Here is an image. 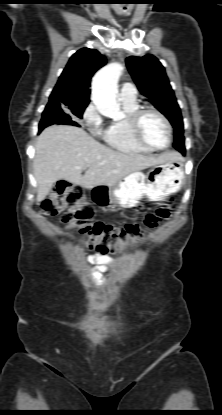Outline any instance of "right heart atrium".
Returning <instances> with one entry per match:
<instances>
[{
  "label": "right heart atrium",
  "instance_id": "d8ad5b80",
  "mask_svg": "<svg viewBox=\"0 0 222 415\" xmlns=\"http://www.w3.org/2000/svg\"><path fill=\"white\" fill-rule=\"evenodd\" d=\"M81 121L91 133H100L103 118L94 103L88 104L84 109Z\"/></svg>",
  "mask_w": 222,
  "mask_h": 415
}]
</instances>
